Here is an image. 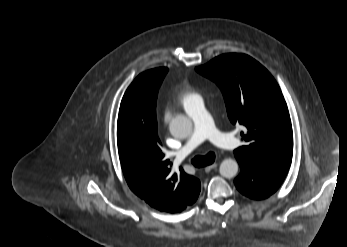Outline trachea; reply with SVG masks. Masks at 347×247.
I'll return each instance as SVG.
<instances>
[{
	"mask_svg": "<svg viewBox=\"0 0 347 247\" xmlns=\"http://www.w3.org/2000/svg\"><path fill=\"white\" fill-rule=\"evenodd\" d=\"M215 161V154L213 152H209L205 156H196L191 162L195 167H204L212 164Z\"/></svg>",
	"mask_w": 347,
	"mask_h": 247,
	"instance_id": "3493384b",
	"label": "trachea"
}]
</instances>
